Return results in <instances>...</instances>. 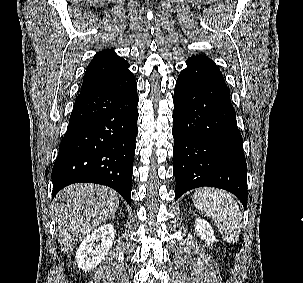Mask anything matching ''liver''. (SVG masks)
<instances>
[{
	"instance_id": "obj_1",
	"label": "liver",
	"mask_w": 303,
	"mask_h": 283,
	"mask_svg": "<svg viewBox=\"0 0 303 283\" xmlns=\"http://www.w3.org/2000/svg\"><path fill=\"white\" fill-rule=\"evenodd\" d=\"M117 193L108 187L76 184L61 190L53 201L56 231L64 253H70L91 231L117 211Z\"/></svg>"
}]
</instances>
